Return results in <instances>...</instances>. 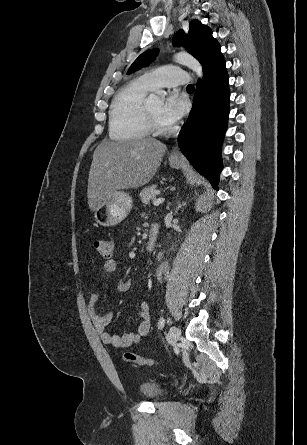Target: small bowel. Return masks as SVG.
I'll list each match as a JSON object with an SVG mask.
<instances>
[{"label": "small bowel", "instance_id": "1", "mask_svg": "<svg viewBox=\"0 0 307 445\" xmlns=\"http://www.w3.org/2000/svg\"><path fill=\"white\" fill-rule=\"evenodd\" d=\"M116 269L117 263L114 259L106 260L102 267V271L106 275L114 273ZM97 301L98 294L91 293L88 299V313L102 341L105 344L111 345L115 348H126L138 343L142 337L148 334L151 326V314L147 302L142 301L139 304L140 323L137 330L131 333L123 334L121 336H115L110 334L107 330V327L113 318L112 312L99 310L96 307Z\"/></svg>", "mask_w": 307, "mask_h": 445}]
</instances>
